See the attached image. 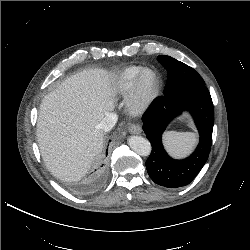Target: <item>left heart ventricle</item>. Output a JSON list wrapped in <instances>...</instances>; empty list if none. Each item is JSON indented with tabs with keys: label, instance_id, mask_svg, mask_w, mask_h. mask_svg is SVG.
Listing matches in <instances>:
<instances>
[{
	"label": "left heart ventricle",
	"instance_id": "left-heart-ventricle-1",
	"mask_svg": "<svg viewBox=\"0 0 250 250\" xmlns=\"http://www.w3.org/2000/svg\"><path fill=\"white\" fill-rule=\"evenodd\" d=\"M153 78L151 74H147L144 78V82H143V88L145 90L149 89L151 84H152Z\"/></svg>",
	"mask_w": 250,
	"mask_h": 250
}]
</instances>
